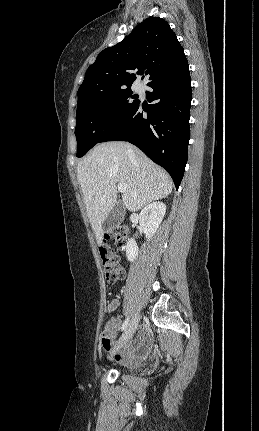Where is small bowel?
Here are the masks:
<instances>
[{"label": "small bowel", "instance_id": "1", "mask_svg": "<svg viewBox=\"0 0 259 431\" xmlns=\"http://www.w3.org/2000/svg\"><path fill=\"white\" fill-rule=\"evenodd\" d=\"M119 301L118 300H112L109 303L110 310H114L118 307ZM117 321L115 320L114 326L110 328L109 330V338H110V344L108 346H104V349L109 351L115 341V331L114 328L117 327ZM149 345V337L146 331H142L139 335V337L135 340H132L127 347L122 351L120 354H117L115 358L120 361L124 362H131L136 358L143 357L147 351Z\"/></svg>", "mask_w": 259, "mask_h": 431}]
</instances>
